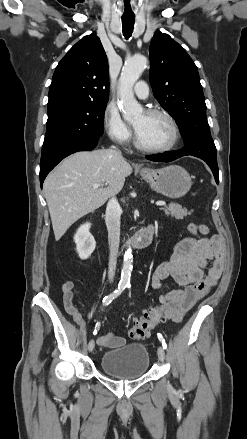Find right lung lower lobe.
<instances>
[{
  "instance_id": "right-lung-lower-lobe-1",
  "label": "right lung lower lobe",
  "mask_w": 247,
  "mask_h": 439,
  "mask_svg": "<svg viewBox=\"0 0 247 439\" xmlns=\"http://www.w3.org/2000/svg\"><path fill=\"white\" fill-rule=\"evenodd\" d=\"M98 140L84 141L52 148L42 152L40 162V184L43 185L47 174L65 157L77 151H90L96 147Z\"/></svg>"
}]
</instances>
